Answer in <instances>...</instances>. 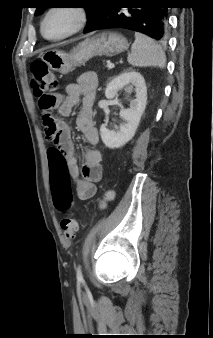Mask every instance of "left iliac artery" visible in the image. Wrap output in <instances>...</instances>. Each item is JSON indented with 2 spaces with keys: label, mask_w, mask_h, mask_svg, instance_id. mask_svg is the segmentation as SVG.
<instances>
[{
  "label": "left iliac artery",
  "mask_w": 213,
  "mask_h": 338,
  "mask_svg": "<svg viewBox=\"0 0 213 338\" xmlns=\"http://www.w3.org/2000/svg\"><path fill=\"white\" fill-rule=\"evenodd\" d=\"M77 279L79 281H81L83 279L82 272H81V267L80 266L77 268Z\"/></svg>",
  "instance_id": "obj_1"
}]
</instances>
